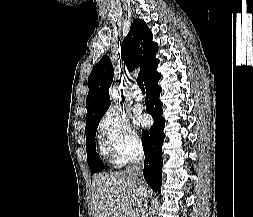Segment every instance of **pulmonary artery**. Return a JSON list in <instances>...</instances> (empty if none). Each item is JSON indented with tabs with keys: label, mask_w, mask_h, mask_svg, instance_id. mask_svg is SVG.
Masks as SVG:
<instances>
[{
	"label": "pulmonary artery",
	"mask_w": 253,
	"mask_h": 217,
	"mask_svg": "<svg viewBox=\"0 0 253 217\" xmlns=\"http://www.w3.org/2000/svg\"><path fill=\"white\" fill-rule=\"evenodd\" d=\"M132 97L136 101H141L143 99V94L142 92L138 89L137 85H133L132 87Z\"/></svg>",
	"instance_id": "obj_1"
}]
</instances>
